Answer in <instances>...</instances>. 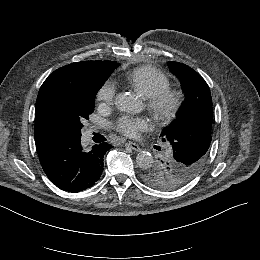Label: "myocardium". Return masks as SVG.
<instances>
[{"instance_id":"1","label":"myocardium","mask_w":260,"mask_h":260,"mask_svg":"<svg viewBox=\"0 0 260 260\" xmlns=\"http://www.w3.org/2000/svg\"><path fill=\"white\" fill-rule=\"evenodd\" d=\"M182 89L167 87L147 98V107L154 122L163 125L177 117L185 104Z\"/></svg>"}]
</instances>
